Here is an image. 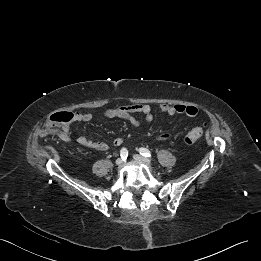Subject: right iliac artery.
I'll list each match as a JSON object with an SVG mask.
<instances>
[{"instance_id": "obj_1", "label": "right iliac artery", "mask_w": 261, "mask_h": 261, "mask_svg": "<svg viewBox=\"0 0 261 261\" xmlns=\"http://www.w3.org/2000/svg\"><path fill=\"white\" fill-rule=\"evenodd\" d=\"M120 156L123 160H126L127 156H128V151L126 148H122L120 151Z\"/></svg>"}]
</instances>
